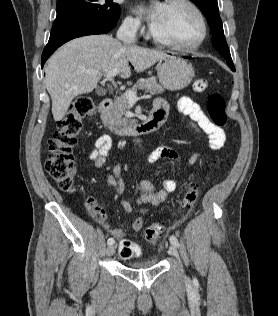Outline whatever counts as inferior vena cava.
Wrapping results in <instances>:
<instances>
[{"instance_id": "1", "label": "inferior vena cava", "mask_w": 278, "mask_h": 316, "mask_svg": "<svg viewBox=\"0 0 278 316\" xmlns=\"http://www.w3.org/2000/svg\"><path fill=\"white\" fill-rule=\"evenodd\" d=\"M136 30V24L124 22L117 31V38L130 45L135 42Z\"/></svg>"}]
</instances>
